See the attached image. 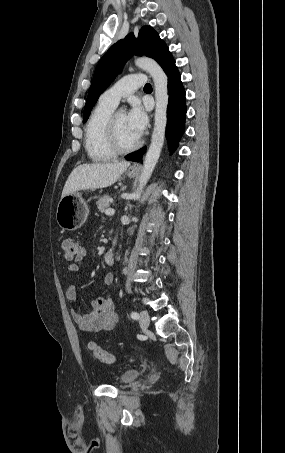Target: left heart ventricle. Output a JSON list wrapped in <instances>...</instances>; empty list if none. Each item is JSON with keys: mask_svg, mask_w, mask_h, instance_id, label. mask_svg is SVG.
<instances>
[{"mask_svg": "<svg viewBox=\"0 0 285 453\" xmlns=\"http://www.w3.org/2000/svg\"><path fill=\"white\" fill-rule=\"evenodd\" d=\"M116 125L118 138L123 146H130L139 139V137L131 129L124 112H120L117 115Z\"/></svg>", "mask_w": 285, "mask_h": 453, "instance_id": "left-heart-ventricle-1", "label": "left heart ventricle"}]
</instances>
